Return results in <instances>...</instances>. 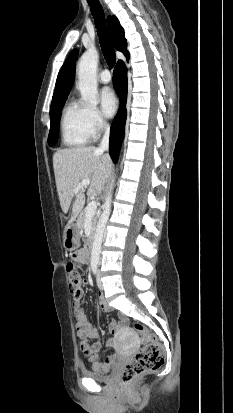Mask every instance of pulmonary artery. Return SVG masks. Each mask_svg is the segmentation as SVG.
<instances>
[{"instance_id":"e3ab8cb5","label":"pulmonary artery","mask_w":233,"mask_h":413,"mask_svg":"<svg viewBox=\"0 0 233 413\" xmlns=\"http://www.w3.org/2000/svg\"><path fill=\"white\" fill-rule=\"evenodd\" d=\"M98 79L101 83L107 84L111 81V74L108 70H103L100 72Z\"/></svg>"}]
</instances>
